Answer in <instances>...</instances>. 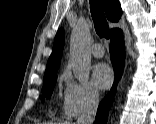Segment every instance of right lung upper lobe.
Segmentation results:
<instances>
[{
	"mask_svg": "<svg viewBox=\"0 0 156 124\" xmlns=\"http://www.w3.org/2000/svg\"><path fill=\"white\" fill-rule=\"evenodd\" d=\"M101 3L108 20L112 22H117L121 18L122 10L117 0H101ZM114 30L116 29H112L111 32H113ZM63 47L64 31L61 28L58 30L55 36L52 54L49 57L44 77L56 75L60 65Z\"/></svg>",
	"mask_w": 156,
	"mask_h": 124,
	"instance_id": "obj_1",
	"label": "right lung upper lobe"
}]
</instances>
